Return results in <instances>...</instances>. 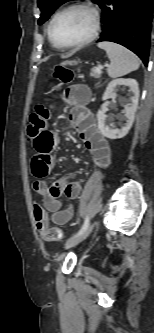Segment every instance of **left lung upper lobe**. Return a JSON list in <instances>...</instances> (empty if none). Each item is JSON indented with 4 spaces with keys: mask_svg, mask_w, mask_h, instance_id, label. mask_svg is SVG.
Returning a JSON list of instances; mask_svg holds the SVG:
<instances>
[{
    "mask_svg": "<svg viewBox=\"0 0 154 333\" xmlns=\"http://www.w3.org/2000/svg\"><path fill=\"white\" fill-rule=\"evenodd\" d=\"M69 0H38V7L41 10V17L38 20V24L41 25L48 20L50 15L63 3ZM96 4H100L102 0H92Z\"/></svg>",
    "mask_w": 154,
    "mask_h": 333,
    "instance_id": "left-lung-upper-lobe-1",
    "label": "left lung upper lobe"
}]
</instances>
